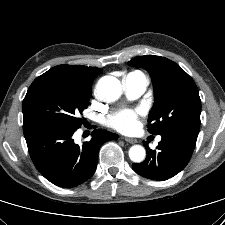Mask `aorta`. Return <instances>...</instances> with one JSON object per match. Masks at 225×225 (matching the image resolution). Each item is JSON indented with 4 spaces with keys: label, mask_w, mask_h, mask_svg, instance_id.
<instances>
[{
    "label": "aorta",
    "mask_w": 225,
    "mask_h": 225,
    "mask_svg": "<svg viewBox=\"0 0 225 225\" xmlns=\"http://www.w3.org/2000/svg\"><path fill=\"white\" fill-rule=\"evenodd\" d=\"M96 93L103 102L116 101L122 94V84L113 76H104L96 85ZM129 157L135 163L143 162L146 157L145 148L141 145L132 146L129 149Z\"/></svg>",
    "instance_id": "762f6f07"
}]
</instances>
